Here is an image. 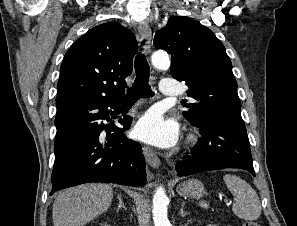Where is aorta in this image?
I'll list each match as a JSON object with an SVG mask.
<instances>
[{
  "instance_id": "obj_1",
  "label": "aorta",
  "mask_w": 297,
  "mask_h": 226,
  "mask_svg": "<svg viewBox=\"0 0 297 226\" xmlns=\"http://www.w3.org/2000/svg\"><path fill=\"white\" fill-rule=\"evenodd\" d=\"M152 65L158 69H165L170 66V59L165 52H155L151 57ZM167 201L165 190L158 187L153 197V221L154 226H168Z\"/></svg>"
}]
</instances>
